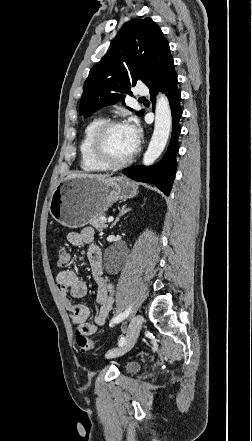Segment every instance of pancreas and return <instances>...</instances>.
<instances>
[{"instance_id": "1", "label": "pancreas", "mask_w": 252, "mask_h": 441, "mask_svg": "<svg viewBox=\"0 0 252 441\" xmlns=\"http://www.w3.org/2000/svg\"><path fill=\"white\" fill-rule=\"evenodd\" d=\"M89 224L96 228L98 231H102L107 227L106 220L101 217L92 218L89 221Z\"/></svg>"}]
</instances>
